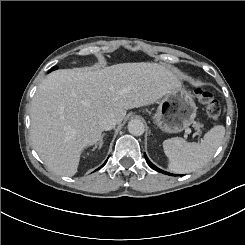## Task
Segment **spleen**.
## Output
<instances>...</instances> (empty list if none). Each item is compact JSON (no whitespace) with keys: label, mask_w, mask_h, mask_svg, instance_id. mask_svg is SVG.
Listing matches in <instances>:
<instances>
[{"label":"spleen","mask_w":245,"mask_h":245,"mask_svg":"<svg viewBox=\"0 0 245 245\" xmlns=\"http://www.w3.org/2000/svg\"><path fill=\"white\" fill-rule=\"evenodd\" d=\"M224 136V127H215L199 143H189L182 137L168 138L164 141V149L172 161L170 169L186 174L204 167L215 155Z\"/></svg>","instance_id":"spleen-1"}]
</instances>
